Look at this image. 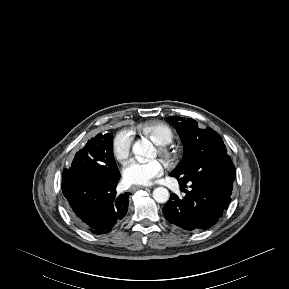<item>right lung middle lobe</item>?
Returning <instances> with one entry per match:
<instances>
[{
    "label": "right lung middle lobe",
    "mask_w": 289,
    "mask_h": 289,
    "mask_svg": "<svg viewBox=\"0 0 289 289\" xmlns=\"http://www.w3.org/2000/svg\"><path fill=\"white\" fill-rule=\"evenodd\" d=\"M112 133H99L75 154L69 169L82 175L101 176L117 169L113 155Z\"/></svg>",
    "instance_id": "right-lung-middle-lobe-1"
}]
</instances>
